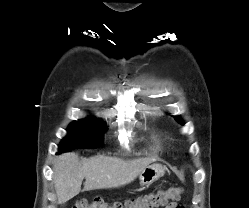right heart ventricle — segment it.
<instances>
[{"label": "right heart ventricle", "mask_w": 249, "mask_h": 208, "mask_svg": "<svg viewBox=\"0 0 249 208\" xmlns=\"http://www.w3.org/2000/svg\"><path fill=\"white\" fill-rule=\"evenodd\" d=\"M152 143L154 149H159L162 145V138L160 135H154L152 137Z\"/></svg>", "instance_id": "right-heart-ventricle-1"}]
</instances>
